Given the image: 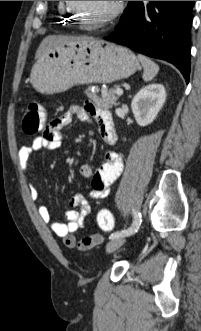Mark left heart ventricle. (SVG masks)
I'll use <instances>...</instances> for the list:
<instances>
[{
  "mask_svg": "<svg viewBox=\"0 0 201 331\" xmlns=\"http://www.w3.org/2000/svg\"><path fill=\"white\" fill-rule=\"evenodd\" d=\"M79 12L88 22H95L109 13L115 1H73Z\"/></svg>",
  "mask_w": 201,
  "mask_h": 331,
  "instance_id": "1",
  "label": "left heart ventricle"
}]
</instances>
